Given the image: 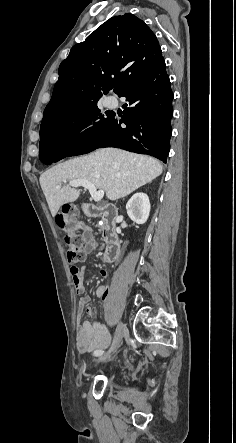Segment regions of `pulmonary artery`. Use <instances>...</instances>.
Here are the masks:
<instances>
[{
    "label": "pulmonary artery",
    "instance_id": "obj_1",
    "mask_svg": "<svg viewBox=\"0 0 236 443\" xmlns=\"http://www.w3.org/2000/svg\"><path fill=\"white\" fill-rule=\"evenodd\" d=\"M105 106L108 108H115L117 106V100L115 97L110 96L105 99Z\"/></svg>",
    "mask_w": 236,
    "mask_h": 443
}]
</instances>
